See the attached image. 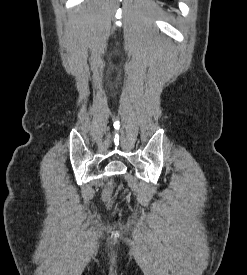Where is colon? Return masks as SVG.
Returning a JSON list of instances; mask_svg holds the SVG:
<instances>
[{
    "instance_id": "colon-1",
    "label": "colon",
    "mask_w": 247,
    "mask_h": 275,
    "mask_svg": "<svg viewBox=\"0 0 247 275\" xmlns=\"http://www.w3.org/2000/svg\"><path fill=\"white\" fill-rule=\"evenodd\" d=\"M112 188H113V182L110 181L103 192V197L106 201H109V199H110Z\"/></svg>"
}]
</instances>
